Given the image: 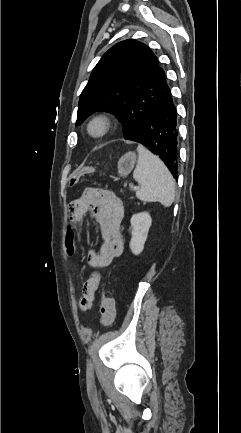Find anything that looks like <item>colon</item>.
Listing matches in <instances>:
<instances>
[{
    "label": "colon",
    "instance_id": "5ec220e1",
    "mask_svg": "<svg viewBox=\"0 0 241 433\" xmlns=\"http://www.w3.org/2000/svg\"><path fill=\"white\" fill-rule=\"evenodd\" d=\"M91 174L92 171L90 168H73L71 177L67 178L66 181L67 185L75 186L77 180H79L80 177H90ZM69 224H74V219H69ZM65 235L67 236L68 252L71 255L73 253V251L71 250H73L74 248L73 246L76 244L75 238L79 236V231L74 226H69L67 228V231L65 232ZM89 285L92 288H98L100 286L99 276L93 275L90 279ZM101 290H102L101 325L103 327H108L113 323L115 318L114 300L110 288L101 286Z\"/></svg>",
    "mask_w": 241,
    "mask_h": 433
}]
</instances>
